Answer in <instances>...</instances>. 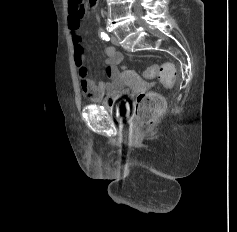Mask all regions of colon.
Here are the masks:
<instances>
[{
    "label": "colon",
    "instance_id": "colon-1",
    "mask_svg": "<svg viewBox=\"0 0 237 232\" xmlns=\"http://www.w3.org/2000/svg\"><path fill=\"white\" fill-rule=\"evenodd\" d=\"M70 13L82 17L85 13L83 0H69ZM146 78L158 77L165 86L173 84L176 70L170 63L154 64L142 71ZM163 100L155 93H143L137 98L136 120L140 126L151 125L163 110Z\"/></svg>",
    "mask_w": 237,
    "mask_h": 232
}]
</instances>
